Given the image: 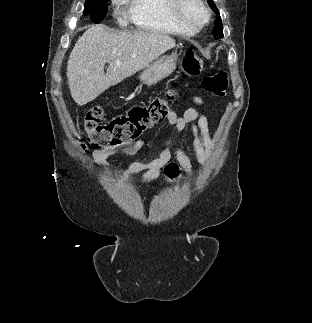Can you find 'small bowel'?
<instances>
[{"instance_id":"obj_1","label":"small bowel","mask_w":312,"mask_h":323,"mask_svg":"<svg viewBox=\"0 0 312 323\" xmlns=\"http://www.w3.org/2000/svg\"><path fill=\"white\" fill-rule=\"evenodd\" d=\"M182 97L190 100L198 106L204 104L203 99L195 94L184 92ZM166 120L169 125L173 126L179 133L189 128L191 135V144L195 158L199 165L204 166L210 159L214 151V141L212 137V128L209 120L204 113L197 108H189L182 115L173 110H169ZM144 146L141 139L132 141L129 145L121 149L105 148L94 152V159L99 165H104L108 157L115 154L132 155L137 153ZM172 151L168 146L163 149L157 157L150 161H135L131 163L124 172L125 179L132 175L143 173L142 182L155 181L166 164H171ZM177 163L183 168V171L189 175L193 174L194 166L187 155L181 148L177 147L174 152Z\"/></svg>"}]
</instances>
